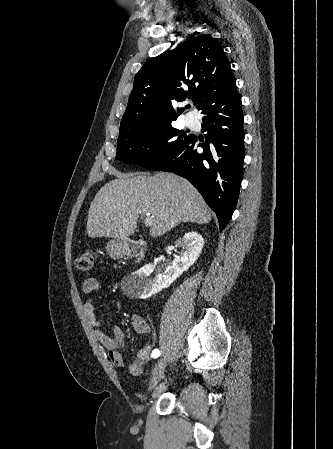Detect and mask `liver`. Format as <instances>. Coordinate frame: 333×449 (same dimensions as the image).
I'll return each mask as SVG.
<instances>
[{
  "label": "liver",
  "instance_id": "1",
  "mask_svg": "<svg viewBox=\"0 0 333 449\" xmlns=\"http://www.w3.org/2000/svg\"><path fill=\"white\" fill-rule=\"evenodd\" d=\"M117 177L97 192L90 205L86 228L91 238L126 240L134 234L138 216L147 213L153 219L150 228L153 237L165 234L181 222L211 221L204 199L182 177L171 173Z\"/></svg>",
  "mask_w": 333,
  "mask_h": 449
}]
</instances>
